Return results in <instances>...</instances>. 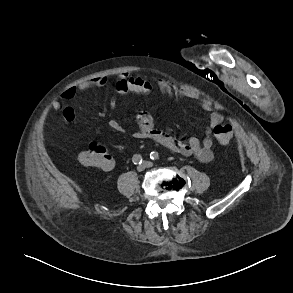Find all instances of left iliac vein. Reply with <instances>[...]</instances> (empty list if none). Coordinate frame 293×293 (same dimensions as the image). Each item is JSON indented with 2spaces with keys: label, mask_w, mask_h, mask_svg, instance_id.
I'll return each mask as SVG.
<instances>
[{
  "label": "left iliac vein",
  "mask_w": 293,
  "mask_h": 293,
  "mask_svg": "<svg viewBox=\"0 0 293 293\" xmlns=\"http://www.w3.org/2000/svg\"><path fill=\"white\" fill-rule=\"evenodd\" d=\"M143 164L145 165V167L150 168L153 166V163L150 161H144Z\"/></svg>",
  "instance_id": "4c4485c4"
}]
</instances>
